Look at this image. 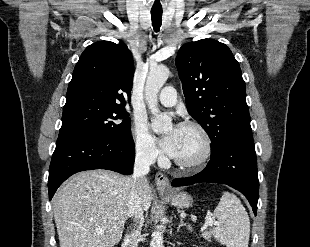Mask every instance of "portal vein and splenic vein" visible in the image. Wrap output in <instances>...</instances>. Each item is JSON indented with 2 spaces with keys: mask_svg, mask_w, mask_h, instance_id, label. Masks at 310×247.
<instances>
[{
  "mask_svg": "<svg viewBox=\"0 0 310 247\" xmlns=\"http://www.w3.org/2000/svg\"><path fill=\"white\" fill-rule=\"evenodd\" d=\"M214 223H216V222H214L211 218H209V225H212ZM96 232H97V234H103L102 230H97Z\"/></svg>",
  "mask_w": 310,
  "mask_h": 247,
  "instance_id": "18ae733b",
  "label": "portal vein and splenic vein"
}]
</instances>
